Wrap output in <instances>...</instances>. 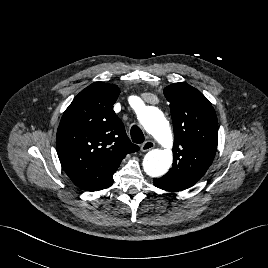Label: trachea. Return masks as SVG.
Masks as SVG:
<instances>
[{"label":"trachea","mask_w":268,"mask_h":268,"mask_svg":"<svg viewBox=\"0 0 268 268\" xmlns=\"http://www.w3.org/2000/svg\"><path fill=\"white\" fill-rule=\"evenodd\" d=\"M130 135L132 138V141L137 144H141L144 141V134L142 130L137 126L133 125L130 130Z\"/></svg>","instance_id":"obj_1"}]
</instances>
